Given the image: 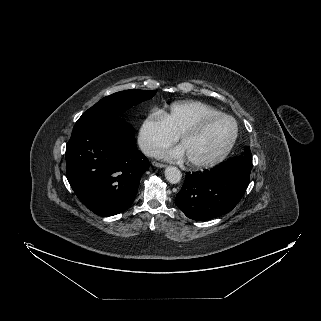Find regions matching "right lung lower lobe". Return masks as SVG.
Listing matches in <instances>:
<instances>
[{
	"label": "right lung lower lobe",
	"instance_id": "1",
	"mask_svg": "<svg viewBox=\"0 0 321 321\" xmlns=\"http://www.w3.org/2000/svg\"><path fill=\"white\" fill-rule=\"evenodd\" d=\"M65 155L73 191L99 216H113L128 207L149 168L137 149L133 128L118 117L75 125Z\"/></svg>",
	"mask_w": 321,
	"mask_h": 321
}]
</instances>
